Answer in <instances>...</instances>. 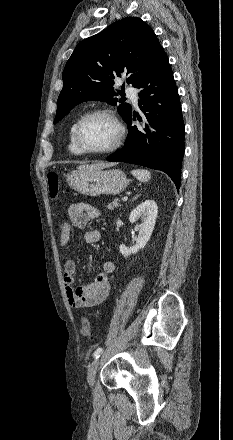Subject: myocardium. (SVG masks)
Returning a JSON list of instances; mask_svg holds the SVG:
<instances>
[{"instance_id":"f54148a6","label":"myocardium","mask_w":233,"mask_h":440,"mask_svg":"<svg viewBox=\"0 0 233 440\" xmlns=\"http://www.w3.org/2000/svg\"><path fill=\"white\" fill-rule=\"evenodd\" d=\"M94 116L108 117L113 122V124L115 125L116 130H117V135H116L114 142L109 147L102 149V150L86 149L85 147L82 146V144L80 142V131H81L82 126L84 125V123L88 119H90L91 117H94ZM124 137H125L124 125L120 121L117 114L113 110L107 109V108L93 109V110L85 113L84 115H82L79 118V120L77 121L75 128H74V132H73L74 144H75L76 148L78 149V151L84 155L100 156V155H107V154L113 153L120 147V145L122 144V142L124 140Z\"/></svg>"}]
</instances>
